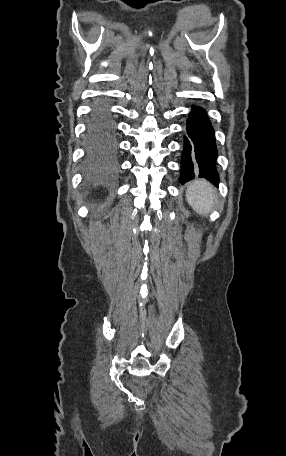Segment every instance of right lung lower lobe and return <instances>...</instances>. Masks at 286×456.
<instances>
[{
	"label": "right lung lower lobe",
	"mask_w": 286,
	"mask_h": 456,
	"mask_svg": "<svg viewBox=\"0 0 286 456\" xmlns=\"http://www.w3.org/2000/svg\"><path fill=\"white\" fill-rule=\"evenodd\" d=\"M93 114L99 115V116L107 119L110 122V128L107 133L112 131V128H113L112 119H111L110 113L107 109V104L104 101H101L96 105L94 111L92 112V115Z\"/></svg>",
	"instance_id": "1"
}]
</instances>
